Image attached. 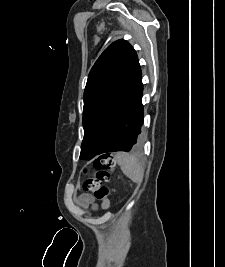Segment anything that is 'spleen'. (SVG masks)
<instances>
[{"label": "spleen", "mask_w": 225, "mask_h": 267, "mask_svg": "<svg viewBox=\"0 0 225 267\" xmlns=\"http://www.w3.org/2000/svg\"><path fill=\"white\" fill-rule=\"evenodd\" d=\"M115 160L120 166L123 174L133 182H140L144 177V169L139 160L132 154L120 152L116 154Z\"/></svg>", "instance_id": "obj_1"}]
</instances>
